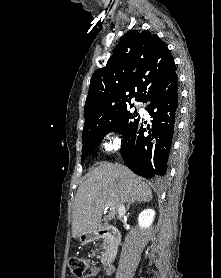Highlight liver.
Listing matches in <instances>:
<instances>
[{
	"mask_svg": "<svg viewBox=\"0 0 221 278\" xmlns=\"http://www.w3.org/2000/svg\"><path fill=\"white\" fill-rule=\"evenodd\" d=\"M150 200L151 188L126 166L99 162L77 190L72 211V237L96 230L108 203L110 211L105 219L110 221L121 203Z\"/></svg>",
	"mask_w": 221,
	"mask_h": 278,
	"instance_id": "1",
	"label": "liver"
}]
</instances>
